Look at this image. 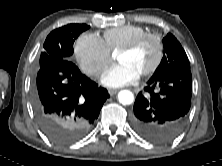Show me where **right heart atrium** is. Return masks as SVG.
<instances>
[{
    "instance_id": "right-heart-atrium-1",
    "label": "right heart atrium",
    "mask_w": 222,
    "mask_h": 166,
    "mask_svg": "<svg viewBox=\"0 0 222 166\" xmlns=\"http://www.w3.org/2000/svg\"><path fill=\"white\" fill-rule=\"evenodd\" d=\"M74 56L84 74L98 78L111 61L102 39L92 33L81 34L74 44Z\"/></svg>"
}]
</instances>
